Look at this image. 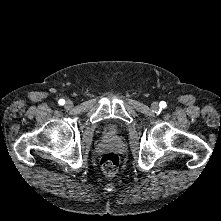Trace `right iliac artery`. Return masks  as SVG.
<instances>
[{
	"instance_id": "right-iliac-artery-1",
	"label": "right iliac artery",
	"mask_w": 221,
	"mask_h": 221,
	"mask_svg": "<svg viewBox=\"0 0 221 221\" xmlns=\"http://www.w3.org/2000/svg\"><path fill=\"white\" fill-rule=\"evenodd\" d=\"M58 103H59L60 105H64V104H65V100H64V99H60V100L58 101Z\"/></svg>"
}]
</instances>
